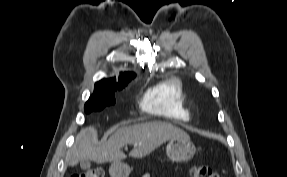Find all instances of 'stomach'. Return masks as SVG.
<instances>
[{"mask_svg": "<svg viewBox=\"0 0 287 177\" xmlns=\"http://www.w3.org/2000/svg\"><path fill=\"white\" fill-rule=\"evenodd\" d=\"M196 148L189 138H176L169 141L166 153L173 162H186L193 158ZM131 168L121 162H113L109 168L111 177H128Z\"/></svg>", "mask_w": 287, "mask_h": 177, "instance_id": "obj_1", "label": "stomach"}]
</instances>
